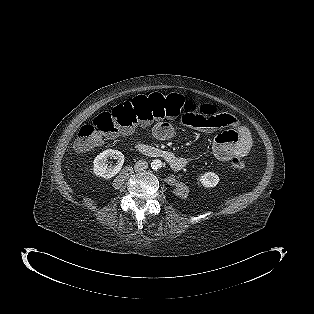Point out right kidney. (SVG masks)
<instances>
[{"mask_svg":"<svg viewBox=\"0 0 314 314\" xmlns=\"http://www.w3.org/2000/svg\"><path fill=\"white\" fill-rule=\"evenodd\" d=\"M108 157H114L118 160L115 166L108 165ZM124 163V155L122 152L114 149H108L97 155L93 162V172L99 177L109 179L118 174Z\"/></svg>","mask_w":314,"mask_h":314,"instance_id":"right-kidney-1","label":"right kidney"}]
</instances>
